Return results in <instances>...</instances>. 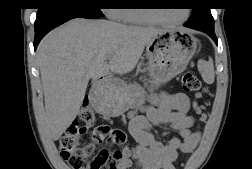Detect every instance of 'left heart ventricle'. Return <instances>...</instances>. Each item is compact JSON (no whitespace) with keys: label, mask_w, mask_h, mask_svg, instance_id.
<instances>
[{"label":"left heart ventricle","mask_w":252,"mask_h":169,"mask_svg":"<svg viewBox=\"0 0 252 169\" xmlns=\"http://www.w3.org/2000/svg\"><path fill=\"white\" fill-rule=\"evenodd\" d=\"M157 15L167 20H179L184 16V11L183 9H171L160 11Z\"/></svg>","instance_id":"left-heart-ventricle-1"}]
</instances>
